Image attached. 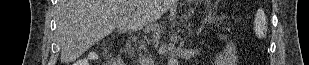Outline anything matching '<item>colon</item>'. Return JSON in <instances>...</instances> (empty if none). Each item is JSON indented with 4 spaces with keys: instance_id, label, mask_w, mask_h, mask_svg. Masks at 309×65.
Returning <instances> with one entry per match:
<instances>
[{
    "instance_id": "obj_1",
    "label": "colon",
    "mask_w": 309,
    "mask_h": 65,
    "mask_svg": "<svg viewBox=\"0 0 309 65\" xmlns=\"http://www.w3.org/2000/svg\"><path fill=\"white\" fill-rule=\"evenodd\" d=\"M268 30V19L267 15L263 10H258L254 20V34L259 40H263L267 36ZM82 61L77 62L75 65H86Z\"/></svg>"
}]
</instances>
